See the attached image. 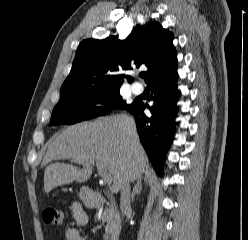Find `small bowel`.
Returning a JSON list of instances; mask_svg holds the SVG:
<instances>
[{"label":"small bowel","instance_id":"small-bowel-1","mask_svg":"<svg viewBox=\"0 0 248 240\" xmlns=\"http://www.w3.org/2000/svg\"><path fill=\"white\" fill-rule=\"evenodd\" d=\"M70 213L79 225H84L88 221V216L79 202L71 203ZM66 240H85L77 228H68L65 232Z\"/></svg>","mask_w":248,"mask_h":240}]
</instances>
